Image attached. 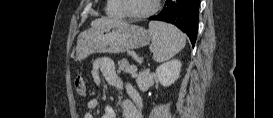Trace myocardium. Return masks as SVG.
Here are the masks:
<instances>
[{
	"label": "myocardium",
	"instance_id": "myocardium-1",
	"mask_svg": "<svg viewBox=\"0 0 273 118\" xmlns=\"http://www.w3.org/2000/svg\"><path fill=\"white\" fill-rule=\"evenodd\" d=\"M120 4L125 14L129 18L133 19H144L152 16L159 8V0H154L152 7L143 12H132L128 9L127 0H120Z\"/></svg>",
	"mask_w": 273,
	"mask_h": 118
}]
</instances>
